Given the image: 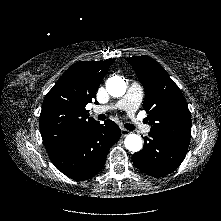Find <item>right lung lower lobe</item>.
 Listing matches in <instances>:
<instances>
[{"instance_id":"98d812e1","label":"right lung lower lobe","mask_w":221,"mask_h":221,"mask_svg":"<svg viewBox=\"0 0 221 221\" xmlns=\"http://www.w3.org/2000/svg\"><path fill=\"white\" fill-rule=\"evenodd\" d=\"M121 137V130L111 120L85 128L69 144L49 154L52 163L66 176L86 180L104 166L108 150Z\"/></svg>"}]
</instances>
